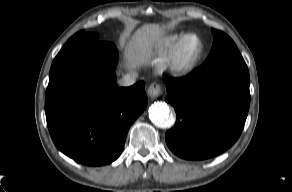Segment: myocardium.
Wrapping results in <instances>:
<instances>
[{
  "instance_id": "obj_1",
  "label": "myocardium",
  "mask_w": 292,
  "mask_h": 192,
  "mask_svg": "<svg viewBox=\"0 0 292 192\" xmlns=\"http://www.w3.org/2000/svg\"><path fill=\"white\" fill-rule=\"evenodd\" d=\"M191 38L197 39L199 43L198 50L190 58H184L183 50L187 41ZM205 50L202 38L195 33L185 34L175 45L167 59V68L172 74L185 75L192 72L201 61Z\"/></svg>"
}]
</instances>
